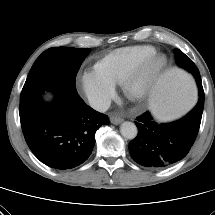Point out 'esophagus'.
<instances>
[{"label": "esophagus", "mask_w": 215, "mask_h": 215, "mask_svg": "<svg viewBox=\"0 0 215 215\" xmlns=\"http://www.w3.org/2000/svg\"><path fill=\"white\" fill-rule=\"evenodd\" d=\"M122 121H123V119L120 118V117L112 116V117L110 118V122H111L112 124H114V125H118V124H120Z\"/></svg>", "instance_id": "34e87169"}]
</instances>
